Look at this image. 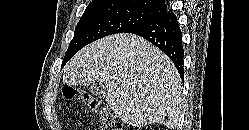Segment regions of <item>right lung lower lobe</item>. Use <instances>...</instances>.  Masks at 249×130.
Listing matches in <instances>:
<instances>
[{
    "instance_id": "right-lung-lower-lobe-1",
    "label": "right lung lower lobe",
    "mask_w": 249,
    "mask_h": 130,
    "mask_svg": "<svg viewBox=\"0 0 249 130\" xmlns=\"http://www.w3.org/2000/svg\"><path fill=\"white\" fill-rule=\"evenodd\" d=\"M139 35L162 50L175 64L183 77L184 49L182 32L173 12H167L158 18L138 25L126 31Z\"/></svg>"
}]
</instances>
